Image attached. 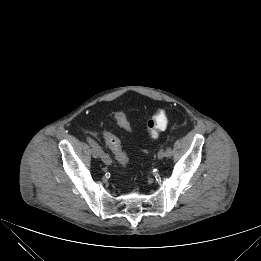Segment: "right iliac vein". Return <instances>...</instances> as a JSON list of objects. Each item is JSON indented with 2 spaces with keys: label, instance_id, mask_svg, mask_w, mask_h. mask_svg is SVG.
Segmentation results:
<instances>
[{
  "label": "right iliac vein",
  "instance_id": "obj_1",
  "mask_svg": "<svg viewBox=\"0 0 261 261\" xmlns=\"http://www.w3.org/2000/svg\"><path fill=\"white\" fill-rule=\"evenodd\" d=\"M90 154H91L93 159H98L99 158L98 152L93 147L90 149Z\"/></svg>",
  "mask_w": 261,
  "mask_h": 261
}]
</instances>
